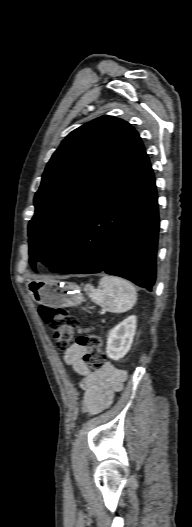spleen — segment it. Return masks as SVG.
<instances>
[{
    "label": "spleen",
    "mask_w": 192,
    "mask_h": 527,
    "mask_svg": "<svg viewBox=\"0 0 192 527\" xmlns=\"http://www.w3.org/2000/svg\"><path fill=\"white\" fill-rule=\"evenodd\" d=\"M84 291L93 302L115 313L130 310L137 300L134 286L119 277L105 275L99 281L96 289L92 285H85Z\"/></svg>",
    "instance_id": "3e777b00"
}]
</instances>
